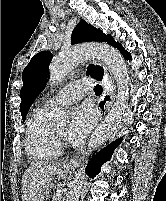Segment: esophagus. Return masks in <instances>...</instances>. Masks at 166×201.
Returning <instances> with one entry per match:
<instances>
[{
	"instance_id": "1",
	"label": "esophagus",
	"mask_w": 166,
	"mask_h": 201,
	"mask_svg": "<svg viewBox=\"0 0 166 201\" xmlns=\"http://www.w3.org/2000/svg\"><path fill=\"white\" fill-rule=\"evenodd\" d=\"M94 64H99L97 61H93ZM103 87L102 95L98 99V108L100 110L101 119L106 116L107 112L109 111L110 107L112 106L114 102V91H115V85L114 81L111 76L107 73V70H105L104 77L100 81ZM80 159H72L69 164L77 165Z\"/></svg>"
}]
</instances>
